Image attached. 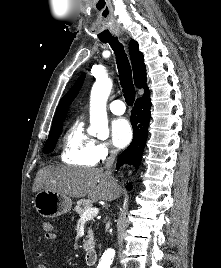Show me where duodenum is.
I'll return each mask as SVG.
<instances>
[{
	"label": "duodenum",
	"mask_w": 221,
	"mask_h": 268,
	"mask_svg": "<svg viewBox=\"0 0 221 268\" xmlns=\"http://www.w3.org/2000/svg\"><path fill=\"white\" fill-rule=\"evenodd\" d=\"M97 257H98V255H97L96 249H94V248L89 249L86 253V256H85V260H86L87 265H90V266L94 265L97 261Z\"/></svg>",
	"instance_id": "duodenum-1"
}]
</instances>
